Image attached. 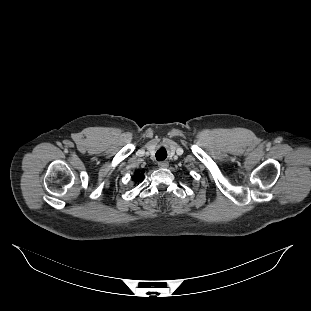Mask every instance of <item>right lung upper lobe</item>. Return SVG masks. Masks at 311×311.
I'll return each instance as SVG.
<instances>
[{"label":"right lung upper lobe","instance_id":"obj_1","mask_svg":"<svg viewBox=\"0 0 311 311\" xmlns=\"http://www.w3.org/2000/svg\"><path fill=\"white\" fill-rule=\"evenodd\" d=\"M143 173H144V171H141V172L137 171V172H135V174L133 176V180L135 182L140 181L143 178Z\"/></svg>","mask_w":311,"mask_h":311}]
</instances>
